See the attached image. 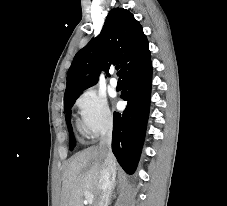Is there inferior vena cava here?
Instances as JSON below:
<instances>
[{
    "label": "inferior vena cava",
    "instance_id": "obj_1",
    "mask_svg": "<svg viewBox=\"0 0 227 206\" xmlns=\"http://www.w3.org/2000/svg\"><path fill=\"white\" fill-rule=\"evenodd\" d=\"M112 142V124L108 126L103 133L99 148L104 156L102 169L100 172V190L101 195L97 206H107L109 201V195L114 185L116 176V160L111 150Z\"/></svg>",
    "mask_w": 227,
    "mask_h": 206
}]
</instances>
